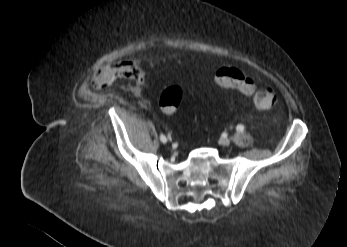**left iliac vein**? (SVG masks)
Instances as JSON below:
<instances>
[{"label":"left iliac vein","mask_w":347,"mask_h":247,"mask_svg":"<svg viewBox=\"0 0 347 247\" xmlns=\"http://www.w3.org/2000/svg\"><path fill=\"white\" fill-rule=\"evenodd\" d=\"M230 139L229 138H222L220 140V144L223 145V146H229L230 145Z\"/></svg>","instance_id":"1"}]
</instances>
